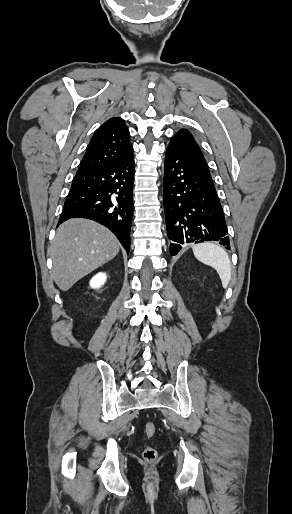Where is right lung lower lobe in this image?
I'll return each instance as SVG.
<instances>
[{
	"label": "right lung lower lobe",
	"mask_w": 292,
	"mask_h": 514,
	"mask_svg": "<svg viewBox=\"0 0 292 514\" xmlns=\"http://www.w3.org/2000/svg\"><path fill=\"white\" fill-rule=\"evenodd\" d=\"M133 153L100 167L79 168L58 224L70 218H87L109 228L130 250L133 215Z\"/></svg>",
	"instance_id": "1"
}]
</instances>
